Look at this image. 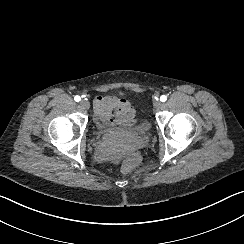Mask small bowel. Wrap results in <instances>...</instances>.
Returning a JSON list of instances; mask_svg holds the SVG:
<instances>
[{"instance_id": "c3829d8e", "label": "small bowel", "mask_w": 244, "mask_h": 244, "mask_svg": "<svg viewBox=\"0 0 244 244\" xmlns=\"http://www.w3.org/2000/svg\"><path fill=\"white\" fill-rule=\"evenodd\" d=\"M96 121L105 128L130 126L134 122V111L130 103L116 96H101L94 101Z\"/></svg>"}]
</instances>
